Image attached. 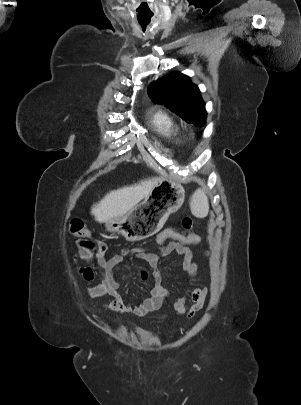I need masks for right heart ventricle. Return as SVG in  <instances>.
I'll return each mask as SVG.
<instances>
[{"mask_svg": "<svg viewBox=\"0 0 301 405\" xmlns=\"http://www.w3.org/2000/svg\"><path fill=\"white\" fill-rule=\"evenodd\" d=\"M150 123L156 132L165 137L177 138L181 135L176 120L164 111L155 112L150 118Z\"/></svg>", "mask_w": 301, "mask_h": 405, "instance_id": "e07e8e85", "label": "right heart ventricle"}]
</instances>
